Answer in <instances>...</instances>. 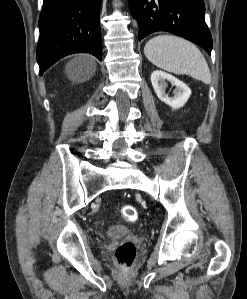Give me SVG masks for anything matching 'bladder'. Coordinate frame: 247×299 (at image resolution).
Wrapping results in <instances>:
<instances>
[{
  "instance_id": "31cf9c89",
  "label": "bladder",
  "mask_w": 247,
  "mask_h": 299,
  "mask_svg": "<svg viewBox=\"0 0 247 299\" xmlns=\"http://www.w3.org/2000/svg\"><path fill=\"white\" fill-rule=\"evenodd\" d=\"M130 230L124 226H112L107 231V236L110 238L119 237L129 233Z\"/></svg>"
}]
</instances>
